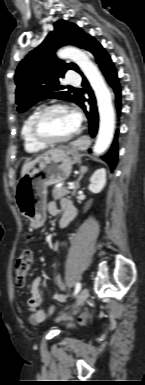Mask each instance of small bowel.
I'll use <instances>...</instances> for the list:
<instances>
[{"label": "small bowel", "mask_w": 145, "mask_h": 385, "mask_svg": "<svg viewBox=\"0 0 145 385\" xmlns=\"http://www.w3.org/2000/svg\"><path fill=\"white\" fill-rule=\"evenodd\" d=\"M48 212L50 215L57 216L60 213L64 215L67 210H71L73 212L72 216L74 217L76 214V209L72 202L68 199H62L60 202L52 201L48 204ZM62 215V216H63ZM59 247L58 242H54L53 249L56 251ZM57 284L61 289H65V285L60 278H57ZM43 285V277L38 276L35 278L30 286V297L27 301V308L30 312L29 321L32 324H39L47 320L50 312L53 310V307L48 309L41 308L42 303V295L41 288ZM54 299L57 302L63 303L66 301V295L64 293H56L54 295ZM73 316L64 317L61 320L66 322L67 327H74L76 324L84 325L90 314L88 312H84L80 314L77 318L76 323L73 321Z\"/></svg>", "instance_id": "1"}]
</instances>
